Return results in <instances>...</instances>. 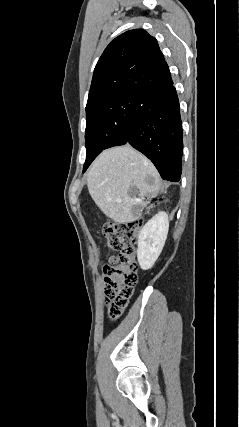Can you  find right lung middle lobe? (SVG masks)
Returning a JSON list of instances; mask_svg holds the SVG:
<instances>
[{"label": "right lung middle lobe", "instance_id": "dd1d6c3e", "mask_svg": "<svg viewBox=\"0 0 239 427\" xmlns=\"http://www.w3.org/2000/svg\"><path fill=\"white\" fill-rule=\"evenodd\" d=\"M141 99V96L125 95L86 106V161L83 172L104 149L118 146L126 140Z\"/></svg>", "mask_w": 239, "mask_h": 427}]
</instances>
